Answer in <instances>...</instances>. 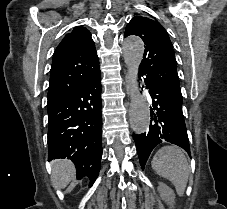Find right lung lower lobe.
<instances>
[{
  "instance_id": "98d812e1",
  "label": "right lung lower lobe",
  "mask_w": 227,
  "mask_h": 209,
  "mask_svg": "<svg viewBox=\"0 0 227 209\" xmlns=\"http://www.w3.org/2000/svg\"><path fill=\"white\" fill-rule=\"evenodd\" d=\"M87 74L84 83L67 96L47 105L49 115L48 161L70 159L77 178L87 176L90 186L98 177L102 156L101 73L84 66L74 69Z\"/></svg>"
}]
</instances>
